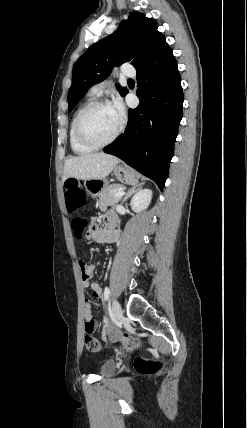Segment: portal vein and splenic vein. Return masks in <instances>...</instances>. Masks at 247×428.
<instances>
[{"instance_id":"1","label":"portal vein and splenic vein","mask_w":247,"mask_h":428,"mask_svg":"<svg viewBox=\"0 0 247 428\" xmlns=\"http://www.w3.org/2000/svg\"><path fill=\"white\" fill-rule=\"evenodd\" d=\"M125 194L124 190H119L115 193V197L119 198L122 197Z\"/></svg>"}]
</instances>
